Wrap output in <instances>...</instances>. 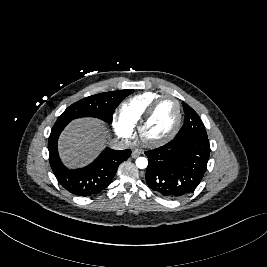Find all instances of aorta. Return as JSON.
I'll return each instance as SVG.
<instances>
[{
    "instance_id": "1",
    "label": "aorta",
    "mask_w": 267,
    "mask_h": 267,
    "mask_svg": "<svg viewBox=\"0 0 267 267\" xmlns=\"http://www.w3.org/2000/svg\"><path fill=\"white\" fill-rule=\"evenodd\" d=\"M148 165V160L145 157H138L136 159V166L139 169H145Z\"/></svg>"
}]
</instances>
